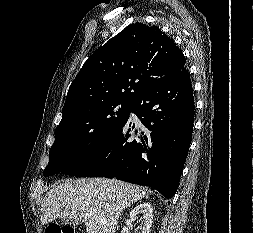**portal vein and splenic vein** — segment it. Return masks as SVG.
Returning <instances> with one entry per match:
<instances>
[{"label":"portal vein and splenic vein","mask_w":253,"mask_h":233,"mask_svg":"<svg viewBox=\"0 0 253 233\" xmlns=\"http://www.w3.org/2000/svg\"><path fill=\"white\" fill-rule=\"evenodd\" d=\"M92 213H93V211H92V210H90V211H89V214H92Z\"/></svg>","instance_id":"18ae733b"}]
</instances>
